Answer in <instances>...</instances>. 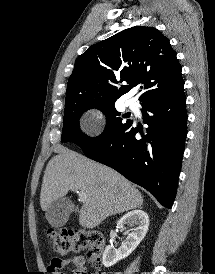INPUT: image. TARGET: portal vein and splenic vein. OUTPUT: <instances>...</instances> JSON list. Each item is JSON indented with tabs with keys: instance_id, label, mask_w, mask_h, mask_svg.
Instances as JSON below:
<instances>
[{
	"instance_id": "portal-vein-and-splenic-vein-1",
	"label": "portal vein and splenic vein",
	"mask_w": 215,
	"mask_h": 274,
	"mask_svg": "<svg viewBox=\"0 0 215 274\" xmlns=\"http://www.w3.org/2000/svg\"><path fill=\"white\" fill-rule=\"evenodd\" d=\"M77 193H78L79 199L81 201H85L86 200L87 196H86V194L83 191H78Z\"/></svg>"
}]
</instances>
